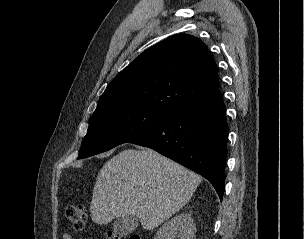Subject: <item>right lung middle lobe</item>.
I'll return each instance as SVG.
<instances>
[{
  "label": "right lung middle lobe",
  "instance_id": "1",
  "mask_svg": "<svg viewBox=\"0 0 304 239\" xmlns=\"http://www.w3.org/2000/svg\"><path fill=\"white\" fill-rule=\"evenodd\" d=\"M170 116L141 107L114 109L93 115L78 158H86L129 142L162 124Z\"/></svg>",
  "mask_w": 304,
  "mask_h": 239
}]
</instances>
